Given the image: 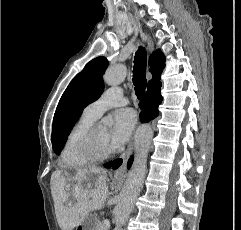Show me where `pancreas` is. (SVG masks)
Listing matches in <instances>:
<instances>
[{
	"mask_svg": "<svg viewBox=\"0 0 241 230\" xmlns=\"http://www.w3.org/2000/svg\"><path fill=\"white\" fill-rule=\"evenodd\" d=\"M96 230H107V228L100 222L96 224Z\"/></svg>",
	"mask_w": 241,
	"mask_h": 230,
	"instance_id": "1",
	"label": "pancreas"
}]
</instances>
